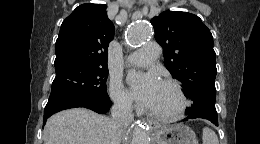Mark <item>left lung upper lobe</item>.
Returning <instances> with one entry per match:
<instances>
[{
  "mask_svg": "<svg viewBox=\"0 0 260 144\" xmlns=\"http://www.w3.org/2000/svg\"><path fill=\"white\" fill-rule=\"evenodd\" d=\"M151 23L163 47L166 68L194 102L186 109L188 115L216 112V54L210 30L198 16L180 11H165Z\"/></svg>",
  "mask_w": 260,
  "mask_h": 144,
  "instance_id": "obj_1",
  "label": "left lung upper lobe"
}]
</instances>
